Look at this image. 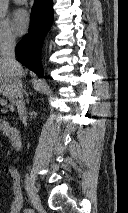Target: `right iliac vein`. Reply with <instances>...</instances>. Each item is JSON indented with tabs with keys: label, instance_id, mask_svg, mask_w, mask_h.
Instances as JSON below:
<instances>
[{
	"label": "right iliac vein",
	"instance_id": "63e3f726",
	"mask_svg": "<svg viewBox=\"0 0 128 213\" xmlns=\"http://www.w3.org/2000/svg\"><path fill=\"white\" fill-rule=\"evenodd\" d=\"M26 190H27V193H28V196H29V199H30L32 206L34 208L40 207L41 201H40V198L37 194L34 181L30 177H27V179H26Z\"/></svg>",
	"mask_w": 128,
	"mask_h": 213
}]
</instances>
